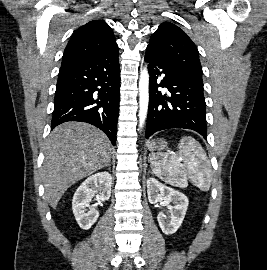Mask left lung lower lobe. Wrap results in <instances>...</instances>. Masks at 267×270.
Here are the masks:
<instances>
[{
    "instance_id": "obj_1",
    "label": "left lung lower lobe",
    "mask_w": 267,
    "mask_h": 270,
    "mask_svg": "<svg viewBox=\"0 0 267 270\" xmlns=\"http://www.w3.org/2000/svg\"><path fill=\"white\" fill-rule=\"evenodd\" d=\"M145 62L150 73L146 138L155 132L183 128L207 138L206 104L203 84L174 69L146 49ZM168 89V94L158 91Z\"/></svg>"
}]
</instances>
